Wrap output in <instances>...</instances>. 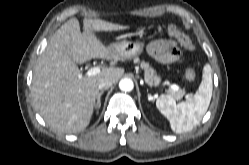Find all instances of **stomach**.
<instances>
[{
  "label": "stomach",
  "instance_id": "obj_1",
  "mask_svg": "<svg viewBox=\"0 0 249 165\" xmlns=\"http://www.w3.org/2000/svg\"><path fill=\"white\" fill-rule=\"evenodd\" d=\"M144 42L141 41H121L109 46V50L116 55L126 56L127 58L136 57L143 52Z\"/></svg>",
  "mask_w": 249,
  "mask_h": 165
}]
</instances>
